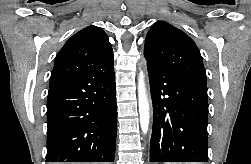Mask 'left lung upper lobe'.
<instances>
[{
	"mask_svg": "<svg viewBox=\"0 0 251 164\" xmlns=\"http://www.w3.org/2000/svg\"><path fill=\"white\" fill-rule=\"evenodd\" d=\"M144 56L147 64L206 84L205 68L197 46L187 34L166 22L152 25L146 36Z\"/></svg>",
	"mask_w": 251,
	"mask_h": 164,
	"instance_id": "5c2ea615",
	"label": "left lung upper lobe"
}]
</instances>
